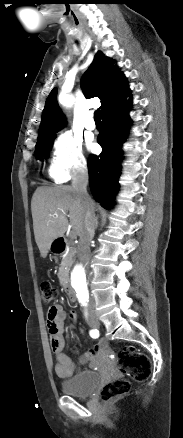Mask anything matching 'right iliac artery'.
I'll use <instances>...</instances> for the list:
<instances>
[{
	"label": "right iliac artery",
	"mask_w": 183,
	"mask_h": 438,
	"mask_svg": "<svg viewBox=\"0 0 183 438\" xmlns=\"http://www.w3.org/2000/svg\"><path fill=\"white\" fill-rule=\"evenodd\" d=\"M90 336L92 338H98L99 337V331L97 329L90 330Z\"/></svg>",
	"instance_id": "right-iliac-artery-1"
}]
</instances>
